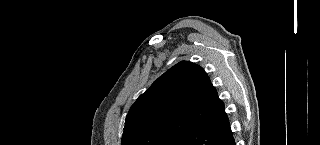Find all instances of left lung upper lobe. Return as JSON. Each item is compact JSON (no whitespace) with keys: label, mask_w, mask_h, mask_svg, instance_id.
I'll return each instance as SVG.
<instances>
[{"label":"left lung upper lobe","mask_w":320,"mask_h":145,"mask_svg":"<svg viewBox=\"0 0 320 145\" xmlns=\"http://www.w3.org/2000/svg\"><path fill=\"white\" fill-rule=\"evenodd\" d=\"M214 105L206 72L192 62H179L133 104L121 145H178L210 115Z\"/></svg>","instance_id":"1"}]
</instances>
